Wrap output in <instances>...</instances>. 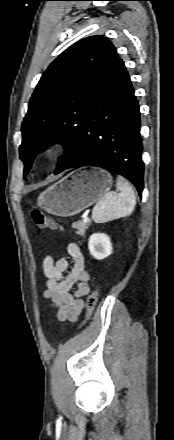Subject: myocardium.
<instances>
[{
  "mask_svg": "<svg viewBox=\"0 0 174 440\" xmlns=\"http://www.w3.org/2000/svg\"><path fill=\"white\" fill-rule=\"evenodd\" d=\"M64 149L65 147L62 142H57V141L51 142L45 148L44 156L48 160H56L62 155Z\"/></svg>",
  "mask_w": 174,
  "mask_h": 440,
  "instance_id": "1",
  "label": "myocardium"
}]
</instances>
